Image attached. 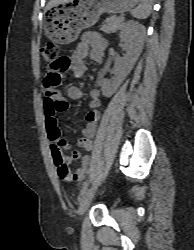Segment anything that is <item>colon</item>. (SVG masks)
I'll return each mask as SVG.
<instances>
[{"label": "colon", "instance_id": "obj_1", "mask_svg": "<svg viewBox=\"0 0 194 250\" xmlns=\"http://www.w3.org/2000/svg\"><path fill=\"white\" fill-rule=\"evenodd\" d=\"M59 45L57 43H47L42 46L40 50L42 60L49 64V66L54 70V72L50 73L46 81L48 85L52 88L58 87L61 85L62 76L58 72L59 69L66 63L64 58L58 57ZM59 105L53 100L52 97L47 96L45 100V110L48 112H52ZM60 106H64V104H60ZM52 147L54 149V163L57 168L58 175L63 180L70 179V171L62 158V150L66 148L67 144L60 140V137L54 136L52 138Z\"/></svg>", "mask_w": 194, "mask_h": 250}]
</instances>
